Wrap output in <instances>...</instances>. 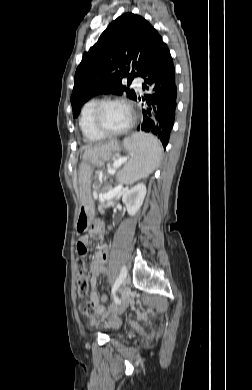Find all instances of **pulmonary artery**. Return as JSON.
Instances as JSON below:
<instances>
[{"mask_svg":"<svg viewBox=\"0 0 252 390\" xmlns=\"http://www.w3.org/2000/svg\"><path fill=\"white\" fill-rule=\"evenodd\" d=\"M133 85L136 86L139 90H141L142 80L141 79H135L134 82H133Z\"/></svg>","mask_w":252,"mask_h":390,"instance_id":"1","label":"pulmonary artery"}]
</instances>
